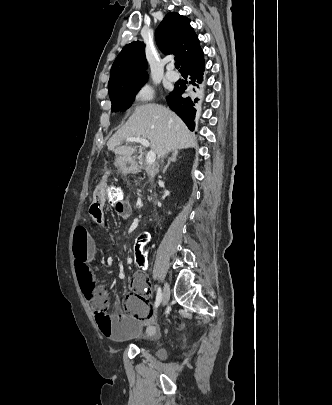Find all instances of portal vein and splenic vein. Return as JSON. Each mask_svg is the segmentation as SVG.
I'll return each mask as SVG.
<instances>
[{
	"mask_svg": "<svg viewBox=\"0 0 332 405\" xmlns=\"http://www.w3.org/2000/svg\"><path fill=\"white\" fill-rule=\"evenodd\" d=\"M126 142H136V143L141 144L144 147H149L150 146V142L145 138L129 137V138L126 139ZM155 160H156L155 152L152 151V150L149 151L147 153V156H146L147 164L148 165H153L155 163Z\"/></svg>",
	"mask_w": 332,
	"mask_h": 405,
	"instance_id": "1",
	"label": "portal vein and splenic vein"
}]
</instances>
